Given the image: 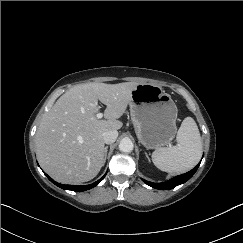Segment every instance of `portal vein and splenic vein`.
I'll use <instances>...</instances> for the list:
<instances>
[{"label":"portal vein and splenic vein","mask_w":243,"mask_h":243,"mask_svg":"<svg viewBox=\"0 0 243 243\" xmlns=\"http://www.w3.org/2000/svg\"><path fill=\"white\" fill-rule=\"evenodd\" d=\"M96 117H97L98 119H101V118L103 117V114H102V113H97V114H96Z\"/></svg>","instance_id":"1"}]
</instances>
